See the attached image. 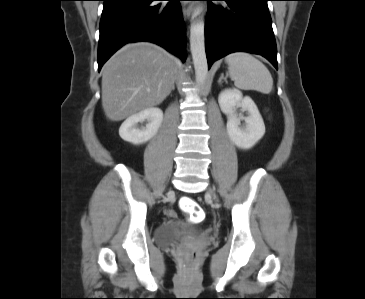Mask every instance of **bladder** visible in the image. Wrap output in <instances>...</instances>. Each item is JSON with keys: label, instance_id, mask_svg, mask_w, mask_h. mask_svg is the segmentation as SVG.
Segmentation results:
<instances>
[{"label": "bladder", "instance_id": "obj_1", "mask_svg": "<svg viewBox=\"0 0 365 299\" xmlns=\"http://www.w3.org/2000/svg\"><path fill=\"white\" fill-rule=\"evenodd\" d=\"M199 236V230H193L180 219L164 222L156 229V241L162 247H171L183 239L199 238Z\"/></svg>", "mask_w": 365, "mask_h": 299}]
</instances>
